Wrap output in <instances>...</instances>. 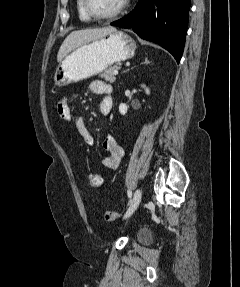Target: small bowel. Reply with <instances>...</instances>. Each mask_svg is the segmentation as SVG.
Returning a JSON list of instances; mask_svg holds the SVG:
<instances>
[{
	"instance_id": "obj_1",
	"label": "small bowel",
	"mask_w": 240,
	"mask_h": 287,
	"mask_svg": "<svg viewBox=\"0 0 240 287\" xmlns=\"http://www.w3.org/2000/svg\"><path fill=\"white\" fill-rule=\"evenodd\" d=\"M90 91L102 96V100L98 105V110L104 115L108 114L112 107L111 86L104 81L96 80L90 84ZM68 101V97H63L58 101L57 112L59 116L65 121L73 122L83 141L87 145L92 146L94 144V138L91 132L87 128L84 119L81 116L73 115ZM102 149L109 153L101 159L102 166L110 170H116L124 155L123 148L111 135H108L102 143Z\"/></svg>"
}]
</instances>
